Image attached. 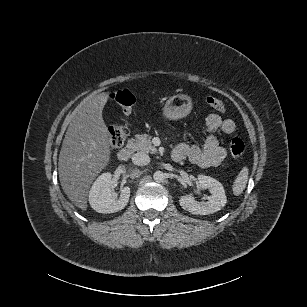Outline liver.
Wrapping results in <instances>:
<instances>
[{
  "instance_id": "1",
  "label": "liver",
  "mask_w": 307,
  "mask_h": 307,
  "mask_svg": "<svg viewBox=\"0 0 307 307\" xmlns=\"http://www.w3.org/2000/svg\"><path fill=\"white\" fill-rule=\"evenodd\" d=\"M111 92L84 99L67 118L68 130L59 154L58 173L68 199L81 211L88 209V193L96 177L111 162V145L102 117Z\"/></svg>"
}]
</instances>
